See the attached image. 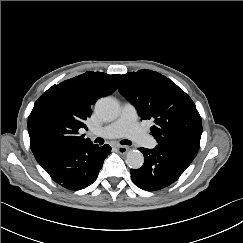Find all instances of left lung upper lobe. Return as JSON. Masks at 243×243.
Listing matches in <instances>:
<instances>
[{"mask_svg": "<svg viewBox=\"0 0 243 243\" xmlns=\"http://www.w3.org/2000/svg\"><path fill=\"white\" fill-rule=\"evenodd\" d=\"M119 91L141 119L154 122L151 133L158 144L177 141L200 143L202 121L192 99L158 72L139 70L121 76Z\"/></svg>", "mask_w": 243, "mask_h": 243, "instance_id": "5c2ea615", "label": "left lung upper lobe"}]
</instances>
